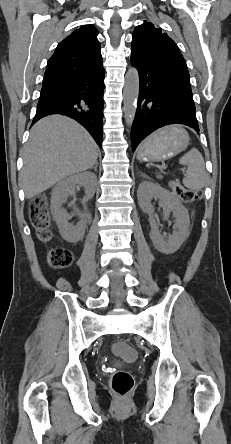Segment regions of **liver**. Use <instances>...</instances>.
I'll return each mask as SVG.
<instances>
[{
  "instance_id": "6515ba94",
  "label": "liver",
  "mask_w": 231,
  "mask_h": 444,
  "mask_svg": "<svg viewBox=\"0 0 231 444\" xmlns=\"http://www.w3.org/2000/svg\"><path fill=\"white\" fill-rule=\"evenodd\" d=\"M98 146L76 121L62 115L39 120L24 147L20 183L31 199L96 163Z\"/></svg>"
}]
</instances>
